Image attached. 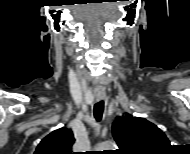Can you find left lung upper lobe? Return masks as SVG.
<instances>
[{
    "label": "left lung upper lobe",
    "mask_w": 190,
    "mask_h": 154,
    "mask_svg": "<svg viewBox=\"0 0 190 154\" xmlns=\"http://www.w3.org/2000/svg\"><path fill=\"white\" fill-rule=\"evenodd\" d=\"M119 154H163L171 145L165 134L145 118L125 113L112 126Z\"/></svg>",
    "instance_id": "left-lung-upper-lobe-1"
}]
</instances>
